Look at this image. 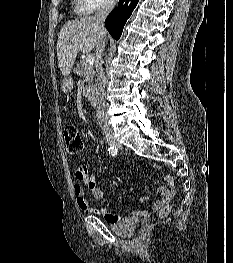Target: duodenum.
Masks as SVG:
<instances>
[{
  "mask_svg": "<svg viewBox=\"0 0 233 263\" xmlns=\"http://www.w3.org/2000/svg\"><path fill=\"white\" fill-rule=\"evenodd\" d=\"M85 86L84 89L86 90L87 94H94L95 90L93 89V86L95 84V81L92 80L91 78H86L85 79ZM90 102L93 107L97 106V103L99 102L98 96L97 95H90L89 96Z\"/></svg>",
  "mask_w": 233,
  "mask_h": 263,
  "instance_id": "410a0bca",
  "label": "duodenum"
}]
</instances>
